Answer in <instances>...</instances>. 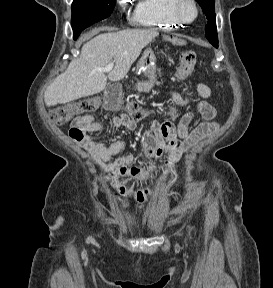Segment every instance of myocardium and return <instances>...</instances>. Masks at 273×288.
Returning <instances> with one entry per match:
<instances>
[{
	"label": "myocardium",
	"instance_id": "obj_1",
	"mask_svg": "<svg viewBox=\"0 0 273 288\" xmlns=\"http://www.w3.org/2000/svg\"><path fill=\"white\" fill-rule=\"evenodd\" d=\"M185 4H190L194 9V15L191 18H187L183 13ZM171 11L173 16L181 23H191L198 16L199 7L195 0H173Z\"/></svg>",
	"mask_w": 273,
	"mask_h": 288
}]
</instances>
